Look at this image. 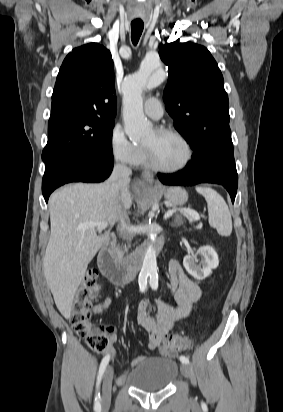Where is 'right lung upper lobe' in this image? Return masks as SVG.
Segmentation results:
<instances>
[{"label":"right lung upper lobe","instance_id":"obj_1","mask_svg":"<svg viewBox=\"0 0 283 412\" xmlns=\"http://www.w3.org/2000/svg\"><path fill=\"white\" fill-rule=\"evenodd\" d=\"M112 56L104 46L90 43L73 49L64 59L52 94L51 116L69 111L97 114L114 122L117 100Z\"/></svg>","mask_w":283,"mask_h":412}]
</instances>
